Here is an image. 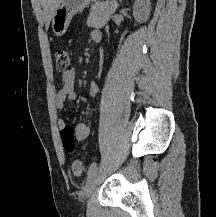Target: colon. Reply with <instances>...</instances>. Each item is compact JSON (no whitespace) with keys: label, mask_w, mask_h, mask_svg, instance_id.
<instances>
[{"label":"colon","mask_w":216,"mask_h":217,"mask_svg":"<svg viewBox=\"0 0 216 217\" xmlns=\"http://www.w3.org/2000/svg\"><path fill=\"white\" fill-rule=\"evenodd\" d=\"M53 58L58 71H65L71 65V55L66 49L57 48L53 53ZM61 135L65 149L71 151L75 145L74 129L66 125ZM71 170L74 175H82L84 171L83 163L80 160H74L71 163Z\"/></svg>","instance_id":"1"}]
</instances>
